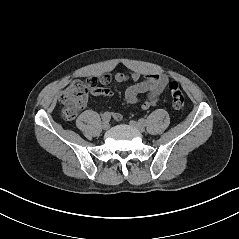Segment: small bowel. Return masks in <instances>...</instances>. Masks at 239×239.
<instances>
[{
	"label": "small bowel",
	"instance_id": "obj_1",
	"mask_svg": "<svg viewBox=\"0 0 239 239\" xmlns=\"http://www.w3.org/2000/svg\"><path fill=\"white\" fill-rule=\"evenodd\" d=\"M97 82L103 85L108 84L112 80V76L109 74H103L100 77H94ZM141 74L133 72L126 74L123 72H117L114 74L113 79L116 82L124 83L127 81L135 82L129 86L125 91V100L129 104H139L143 110L155 106L160 97L168 85L169 78L165 74L150 73L140 81ZM92 94L97 97H110L112 92L110 89L105 87L94 86L91 90ZM141 94H146L144 97H140ZM114 118L120 120L121 114L115 113Z\"/></svg>",
	"mask_w": 239,
	"mask_h": 239
}]
</instances>
